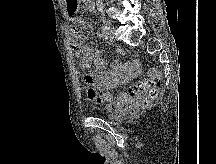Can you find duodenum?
Segmentation results:
<instances>
[{"label":"duodenum","mask_w":216,"mask_h":164,"mask_svg":"<svg viewBox=\"0 0 216 164\" xmlns=\"http://www.w3.org/2000/svg\"><path fill=\"white\" fill-rule=\"evenodd\" d=\"M91 1L92 0H86L87 6H91V4H89V3H91Z\"/></svg>","instance_id":"1"}]
</instances>
